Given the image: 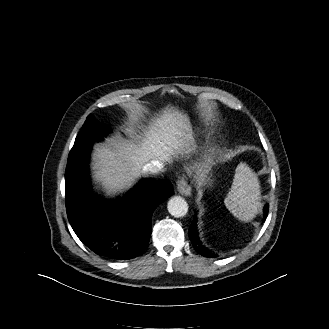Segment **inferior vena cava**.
Segmentation results:
<instances>
[{"instance_id":"1","label":"inferior vena cava","mask_w":329,"mask_h":329,"mask_svg":"<svg viewBox=\"0 0 329 329\" xmlns=\"http://www.w3.org/2000/svg\"><path fill=\"white\" fill-rule=\"evenodd\" d=\"M163 168L164 165L162 162L158 160H152L143 166L142 171L143 173L157 174L159 172H162Z\"/></svg>"}]
</instances>
